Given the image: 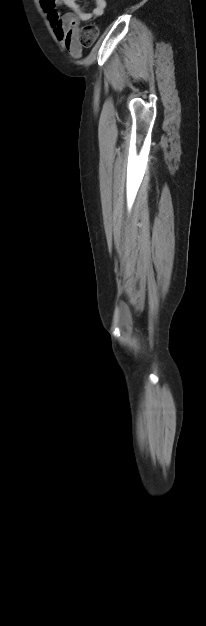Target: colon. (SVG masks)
<instances>
[{"instance_id":"1","label":"colon","mask_w":206,"mask_h":626,"mask_svg":"<svg viewBox=\"0 0 206 626\" xmlns=\"http://www.w3.org/2000/svg\"><path fill=\"white\" fill-rule=\"evenodd\" d=\"M98 27L94 24L86 25L82 28L80 34V42L82 46L91 47L98 37Z\"/></svg>"}]
</instances>
